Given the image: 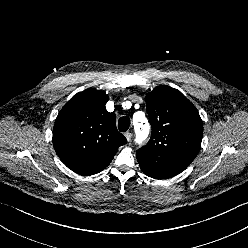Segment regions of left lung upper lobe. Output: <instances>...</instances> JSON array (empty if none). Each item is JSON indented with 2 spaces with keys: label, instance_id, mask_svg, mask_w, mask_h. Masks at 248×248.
I'll return each instance as SVG.
<instances>
[{
  "label": "left lung upper lobe",
  "instance_id": "obj_1",
  "mask_svg": "<svg viewBox=\"0 0 248 248\" xmlns=\"http://www.w3.org/2000/svg\"><path fill=\"white\" fill-rule=\"evenodd\" d=\"M152 135L136 152L141 170L156 179L171 178L197 156L203 124L197 109L177 89L162 85L146 95Z\"/></svg>",
  "mask_w": 248,
  "mask_h": 248
}]
</instances>
